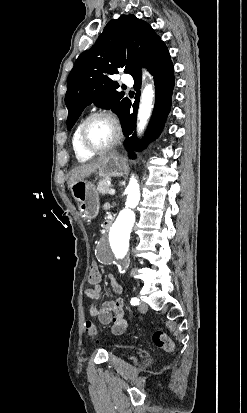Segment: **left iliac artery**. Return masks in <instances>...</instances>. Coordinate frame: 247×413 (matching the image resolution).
Here are the masks:
<instances>
[{
    "label": "left iliac artery",
    "mask_w": 247,
    "mask_h": 413,
    "mask_svg": "<svg viewBox=\"0 0 247 413\" xmlns=\"http://www.w3.org/2000/svg\"><path fill=\"white\" fill-rule=\"evenodd\" d=\"M131 305L135 306V305H139V299L134 297L131 299L130 301Z\"/></svg>",
    "instance_id": "obj_1"
}]
</instances>
